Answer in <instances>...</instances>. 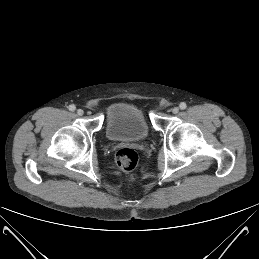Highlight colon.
<instances>
[{
  "label": "colon",
  "instance_id": "5ec220e1",
  "mask_svg": "<svg viewBox=\"0 0 259 259\" xmlns=\"http://www.w3.org/2000/svg\"><path fill=\"white\" fill-rule=\"evenodd\" d=\"M117 166L126 173L131 180L134 179V170L138 163V154L130 148H122L116 154Z\"/></svg>",
  "mask_w": 259,
  "mask_h": 259
}]
</instances>
